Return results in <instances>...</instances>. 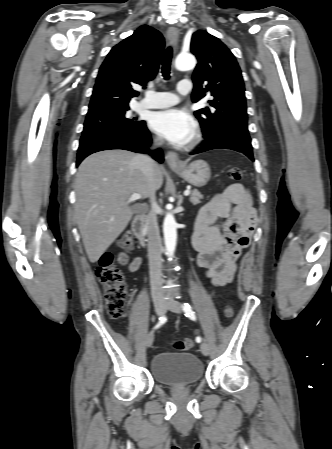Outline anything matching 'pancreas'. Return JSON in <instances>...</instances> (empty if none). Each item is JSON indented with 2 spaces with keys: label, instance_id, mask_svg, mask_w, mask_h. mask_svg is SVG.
<instances>
[{
  "label": "pancreas",
  "instance_id": "pancreas-1",
  "mask_svg": "<svg viewBox=\"0 0 332 449\" xmlns=\"http://www.w3.org/2000/svg\"><path fill=\"white\" fill-rule=\"evenodd\" d=\"M203 198V195L198 191V190H194L191 193L190 196V202L194 205L199 204L201 201V199Z\"/></svg>",
  "mask_w": 332,
  "mask_h": 449
}]
</instances>
